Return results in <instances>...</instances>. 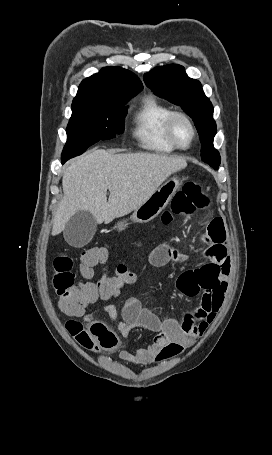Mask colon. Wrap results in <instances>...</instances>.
<instances>
[{
    "label": "colon",
    "mask_w": 272,
    "mask_h": 455,
    "mask_svg": "<svg viewBox=\"0 0 272 455\" xmlns=\"http://www.w3.org/2000/svg\"><path fill=\"white\" fill-rule=\"evenodd\" d=\"M209 198L202 183L197 181L186 182L180 192L172 200L171 209L161 216L164 225H170L178 217L189 216L198 209L209 205ZM108 253L103 248H90L82 253L80 259V273L89 279L92 268L107 262ZM73 259L67 253L58 254L52 263V286L58 296V306L69 316H83L86 309L97 299H114L119 291L137 280L133 265L118 264L113 275L103 276L97 283H75L72 272ZM69 334L85 349L100 351L114 348L118 339L113 331L103 323L89 319H71L66 322Z\"/></svg>",
    "instance_id": "1"
}]
</instances>
